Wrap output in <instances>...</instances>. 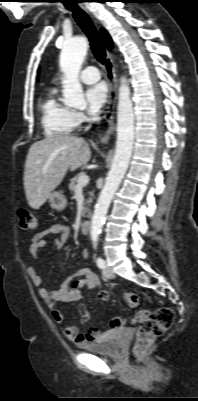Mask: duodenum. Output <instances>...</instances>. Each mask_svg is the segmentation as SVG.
<instances>
[{"mask_svg":"<svg viewBox=\"0 0 198 401\" xmlns=\"http://www.w3.org/2000/svg\"><path fill=\"white\" fill-rule=\"evenodd\" d=\"M90 225H91L90 220L87 219V220L82 221V223L80 225V229H81L82 233H84V234L88 233L90 230Z\"/></svg>","mask_w":198,"mask_h":401,"instance_id":"obj_1","label":"duodenum"}]
</instances>
